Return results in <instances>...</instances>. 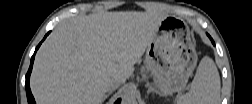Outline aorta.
<instances>
[{"label": "aorta", "mask_w": 252, "mask_h": 104, "mask_svg": "<svg viewBox=\"0 0 252 104\" xmlns=\"http://www.w3.org/2000/svg\"><path fill=\"white\" fill-rule=\"evenodd\" d=\"M135 98L131 95H125L122 99V102L124 104H134L135 103Z\"/></svg>", "instance_id": "1"}]
</instances>
